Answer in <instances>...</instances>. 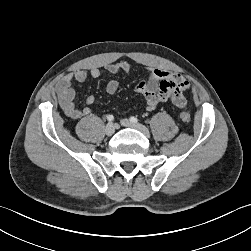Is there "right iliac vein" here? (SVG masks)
I'll return each instance as SVG.
<instances>
[{
  "mask_svg": "<svg viewBox=\"0 0 251 251\" xmlns=\"http://www.w3.org/2000/svg\"><path fill=\"white\" fill-rule=\"evenodd\" d=\"M115 132V125L113 123H108L105 127V134L107 136L113 135Z\"/></svg>",
  "mask_w": 251,
  "mask_h": 251,
  "instance_id": "1",
  "label": "right iliac vein"
}]
</instances>
